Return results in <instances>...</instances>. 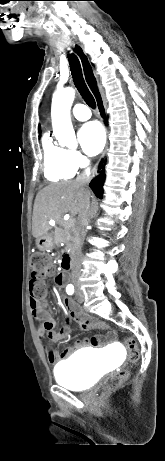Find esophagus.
I'll return each instance as SVG.
<instances>
[{"label": "esophagus", "instance_id": "1", "mask_svg": "<svg viewBox=\"0 0 165 461\" xmlns=\"http://www.w3.org/2000/svg\"><path fill=\"white\" fill-rule=\"evenodd\" d=\"M80 60H81L82 67L84 69V59L82 57H80ZM96 103H97V109L99 111V114H100L101 118L104 119L105 118L104 104H103V102H100V101L97 102V100H96ZM107 148H108V144L106 145V147H105V149L103 151L102 157L105 156ZM96 173H97V168H94L93 169V175L96 174Z\"/></svg>", "mask_w": 165, "mask_h": 461}]
</instances>
